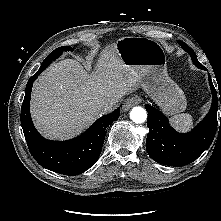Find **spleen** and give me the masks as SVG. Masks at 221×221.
<instances>
[{
  "mask_svg": "<svg viewBox=\"0 0 221 221\" xmlns=\"http://www.w3.org/2000/svg\"><path fill=\"white\" fill-rule=\"evenodd\" d=\"M171 122L177 130L185 132L193 126V117L190 114H178L172 117Z\"/></svg>",
  "mask_w": 221,
  "mask_h": 221,
  "instance_id": "spleen-1",
  "label": "spleen"
}]
</instances>
